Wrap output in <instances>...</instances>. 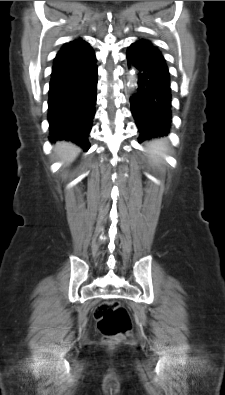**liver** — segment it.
Returning a JSON list of instances; mask_svg holds the SVG:
<instances>
[{
	"label": "liver",
	"mask_w": 225,
	"mask_h": 395,
	"mask_svg": "<svg viewBox=\"0 0 225 395\" xmlns=\"http://www.w3.org/2000/svg\"><path fill=\"white\" fill-rule=\"evenodd\" d=\"M54 151L60 160L69 163L78 156L81 149L70 142H57Z\"/></svg>",
	"instance_id": "1"
}]
</instances>
